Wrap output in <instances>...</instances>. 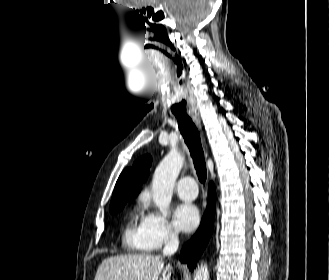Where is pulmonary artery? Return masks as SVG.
<instances>
[{
	"instance_id": "pulmonary-artery-1",
	"label": "pulmonary artery",
	"mask_w": 329,
	"mask_h": 280,
	"mask_svg": "<svg viewBox=\"0 0 329 280\" xmlns=\"http://www.w3.org/2000/svg\"><path fill=\"white\" fill-rule=\"evenodd\" d=\"M176 193L183 200H194L197 196V184L194 178L185 176L179 179L176 184Z\"/></svg>"
}]
</instances>
